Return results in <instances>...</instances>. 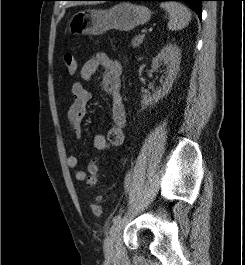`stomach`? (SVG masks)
I'll use <instances>...</instances> for the list:
<instances>
[{
  "instance_id": "1",
  "label": "stomach",
  "mask_w": 245,
  "mask_h": 265,
  "mask_svg": "<svg viewBox=\"0 0 245 265\" xmlns=\"http://www.w3.org/2000/svg\"><path fill=\"white\" fill-rule=\"evenodd\" d=\"M148 7L133 3H119L110 9H86L75 13L68 23L73 35H99L107 30L130 31L151 18Z\"/></svg>"
}]
</instances>
